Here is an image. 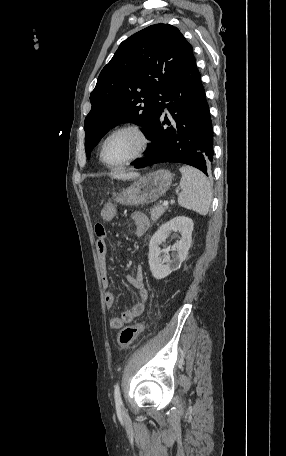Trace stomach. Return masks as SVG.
Returning <instances> with one entry per match:
<instances>
[{
    "mask_svg": "<svg viewBox=\"0 0 286 456\" xmlns=\"http://www.w3.org/2000/svg\"><path fill=\"white\" fill-rule=\"evenodd\" d=\"M172 183V174L157 170L141 177L119 193L115 200L123 205L139 206L152 203L163 196Z\"/></svg>",
    "mask_w": 286,
    "mask_h": 456,
    "instance_id": "obj_1",
    "label": "stomach"
}]
</instances>
